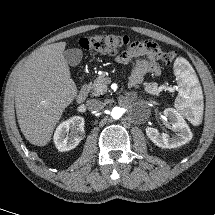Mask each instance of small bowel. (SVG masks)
<instances>
[{
  "label": "small bowel",
  "mask_w": 215,
  "mask_h": 215,
  "mask_svg": "<svg viewBox=\"0 0 215 215\" xmlns=\"http://www.w3.org/2000/svg\"><path fill=\"white\" fill-rule=\"evenodd\" d=\"M161 57L159 46L153 41L134 42L125 52L116 57L119 64L127 65L137 59L130 76V85L140 84L148 74L159 76L161 68L158 60Z\"/></svg>",
  "instance_id": "c3829d8e"
}]
</instances>
